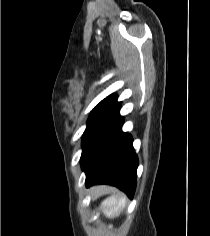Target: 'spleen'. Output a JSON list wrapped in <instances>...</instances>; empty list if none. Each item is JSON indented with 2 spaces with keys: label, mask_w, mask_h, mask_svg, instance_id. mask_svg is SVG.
Instances as JSON below:
<instances>
[{
  "label": "spleen",
  "mask_w": 210,
  "mask_h": 236,
  "mask_svg": "<svg viewBox=\"0 0 210 236\" xmlns=\"http://www.w3.org/2000/svg\"><path fill=\"white\" fill-rule=\"evenodd\" d=\"M126 198L123 195L114 194L102 202V211L106 217H115L125 207Z\"/></svg>",
  "instance_id": "3e777b00"
}]
</instances>
